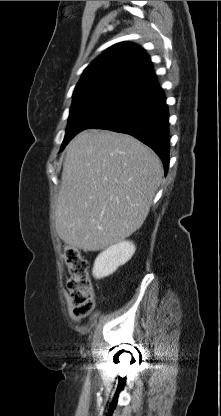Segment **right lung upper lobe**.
Returning a JSON list of instances; mask_svg holds the SVG:
<instances>
[{"label":"right lung upper lobe","mask_w":221,"mask_h":416,"mask_svg":"<svg viewBox=\"0 0 221 416\" xmlns=\"http://www.w3.org/2000/svg\"><path fill=\"white\" fill-rule=\"evenodd\" d=\"M157 84L145 51L132 43H119L107 49L84 70L73 97L95 93L130 95Z\"/></svg>","instance_id":"cb5924a9"}]
</instances>
